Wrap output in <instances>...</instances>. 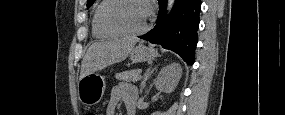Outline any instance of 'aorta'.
Returning <instances> with one entry per match:
<instances>
[{"label": "aorta", "mask_w": 285, "mask_h": 115, "mask_svg": "<svg viewBox=\"0 0 285 115\" xmlns=\"http://www.w3.org/2000/svg\"><path fill=\"white\" fill-rule=\"evenodd\" d=\"M174 0H168V2H167V13L169 14L170 13V11L172 10V7H173V5H174Z\"/></svg>", "instance_id": "obj_1"}]
</instances>
